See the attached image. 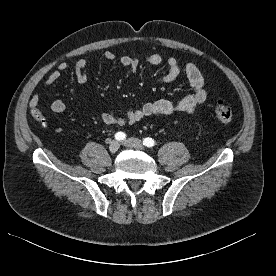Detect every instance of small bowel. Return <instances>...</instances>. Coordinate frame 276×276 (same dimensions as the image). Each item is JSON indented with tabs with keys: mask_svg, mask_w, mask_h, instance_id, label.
<instances>
[{
	"mask_svg": "<svg viewBox=\"0 0 276 276\" xmlns=\"http://www.w3.org/2000/svg\"><path fill=\"white\" fill-rule=\"evenodd\" d=\"M104 58L107 61L116 59V55L112 51H105ZM149 65L157 66L163 62V58L159 54H148L142 58ZM140 58L123 55L120 57V63L136 73L139 69ZM167 73L160 77L161 83H169L174 81L180 75H183L188 81L192 92L181 99L178 103H172L168 100H157L145 104L139 109L129 110L122 116H114L109 113L101 114V121L109 125H132L149 116H172L174 114H191L203 104L207 98V92L204 87V78L201 72L193 63H188L181 68L176 59L168 57L165 59ZM67 62H60L58 68L52 71L45 81V87H52L60 78L61 73L68 69ZM75 78L79 84H84L88 80L87 61L79 58L74 63ZM75 95H79L76 88L72 89ZM39 104V96L34 94L30 100V105L36 107ZM51 110L55 114H62L66 110V104L62 100H55L51 103Z\"/></svg>",
	"mask_w": 276,
	"mask_h": 276,
	"instance_id": "1",
	"label": "small bowel"
}]
</instances>
